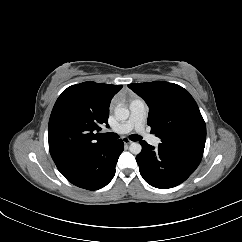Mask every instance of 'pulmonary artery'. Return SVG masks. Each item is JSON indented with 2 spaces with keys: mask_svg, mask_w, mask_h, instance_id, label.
Returning a JSON list of instances; mask_svg holds the SVG:
<instances>
[{
  "mask_svg": "<svg viewBox=\"0 0 242 242\" xmlns=\"http://www.w3.org/2000/svg\"><path fill=\"white\" fill-rule=\"evenodd\" d=\"M130 116L128 120L122 122L111 129L116 134H126L135 129L152 146H158L160 139L148 134L144 123L146 118V105L141 98H136L129 105Z\"/></svg>",
  "mask_w": 242,
  "mask_h": 242,
  "instance_id": "pulmonary-artery-1",
  "label": "pulmonary artery"
}]
</instances>
